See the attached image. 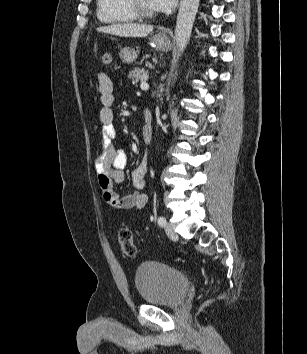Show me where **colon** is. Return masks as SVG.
Segmentation results:
<instances>
[{
    "label": "colon",
    "instance_id": "1",
    "mask_svg": "<svg viewBox=\"0 0 307 354\" xmlns=\"http://www.w3.org/2000/svg\"><path fill=\"white\" fill-rule=\"evenodd\" d=\"M112 54L106 52L101 57L103 65H109L112 62ZM118 243L121 251L129 257L135 256L136 246L134 244L132 231L128 227H122L118 232Z\"/></svg>",
    "mask_w": 307,
    "mask_h": 354
}]
</instances>
